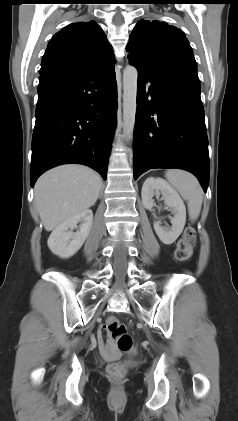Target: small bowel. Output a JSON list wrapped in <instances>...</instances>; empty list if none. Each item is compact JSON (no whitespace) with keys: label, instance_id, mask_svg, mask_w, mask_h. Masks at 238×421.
<instances>
[{"label":"small bowel","instance_id":"1","mask_svg":"<svg viewBox=\"0 0 238 421\" xmlns=\"http://www.w3.org/2000/svg\"><path fill=\"white\" fill-rule=\"evenodd\" d=\"M99 344H100L101 350L104 354H109L113 351L110 344L104 343L101 333L99 334Z\"/></svg>","mask_w":238,"mask_h":421}]
</instances>
